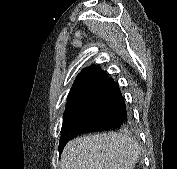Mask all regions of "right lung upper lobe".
<instances>
[{
	"label": "right lung upper lobe",
	"mask_w": 177,
	"mask_h": 169,
	"mask_svg": "<svg viewBox=\"0 0 177 169\" xmlns=\"http://www.w3.org/2000/svg\"><path fill=\"white\" fill-rule=\"evenodd\" d=\"M99 70L95 65L83 69L76 77L68 97L85 92L87 83Z\"/></svg>",
	"instance_id": "1"
}]
</instances>
